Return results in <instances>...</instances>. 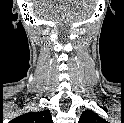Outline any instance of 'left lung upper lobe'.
<instances>
[{
	"label": "left lung upper lobe",
	"instance_id": "obj_1",
	"mask_svg": "<svg viewBox=\"0 0 124 123\" xmlns=\"http://www.w3.org/2000/svg\"><path fill=\"white\" fill-rule=\"evenodd\" d=\"M79 123H105V120L91 110H86L81 114Z\"/></svg>",
	"mask_w": 124,
	"mask_h": 123
}]
</instances>
